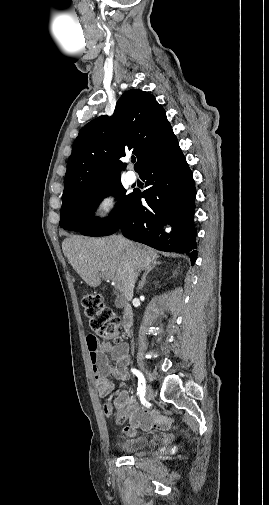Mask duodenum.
<instances>
[{
  "label": "duodenum",
  "mask_w": 269,
  "mask_h": 505,
  "mask_svg": "<svg viewBox=\"0 0 269 505\" xmlns=\"http://www.w3.org/2000/svg\"><path fill=\"white\" fill-rule=\"evenodd\" d=\"M133 321H134V315L132 308L129 304H126L123 307V312H122V326L127 335L130 334L131 328L133 326Z\"/></svg>",
  "instance_id": "1"
}]
</instances>
